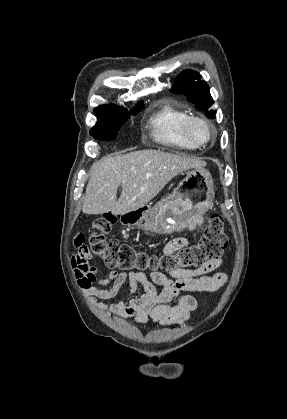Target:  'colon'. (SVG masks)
Segmentation results:
<instances>
[{
  "instance_id": "colon-1",
  "label": "colon",
  "mask_w": 287,
  "mask_h": 419,
  "mask_svg": "<svg viewBox=\"0 0 287 419\" xmlns=\"http://www.w3.org/2000/svg\"><path fill=\"white\" fill-rule=\"evenodd\" d=\"M116 215L108 212L92 222L86 235L77 237V241L88 242L89 253L102 258L106 266L128 271L159 272L199 269L208 262L219 258L228 246V239L223 229V219L219 214L210 216L203 235L199 240L173 254L157 256L137 250L127 244L107 241L105 235L115 224Z\"/></svg>"
}]
</instances>
